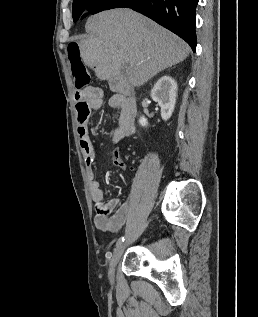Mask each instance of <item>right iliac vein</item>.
I'll return each instance as SVG.
<instances>
[{
  "instance_id": "1",
  "label": "right iliac vein",
  "mask_w": 258,
  "mask_h": 317,
  "mask_svg": "<svg viewBox=\"0 0 258 317\" xmlns=\"http://www.w3.org/2000/svg\"><path fill=\"white\" fill-rule=\"evenodd\" d=\"M127 246L123 243L120 244L115 250L114 256L110 259V266L108 267V270L110 271V276H115V268L117 267V262L121 260L122 253H124V249Z\"/></svg>"
}]
</instances>
